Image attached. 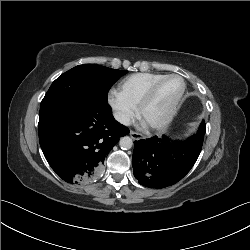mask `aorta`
<instances>
[{"label": "aorta", "instance_id": "aorta-1", "mask_svg": "<svg viewBox=\"0 0 250 250\" xmlns=\"http://www.w3.org/2000/svg\"><path fill=\"white\" fill-rule=\"evenodd\" d=\"M119 145H120L121 149L128 150L132 147L133 141L130 137L124 136L120 139Z\"/></svg>", "mask_w": 250, "mask_h": 250}]
</instances>
